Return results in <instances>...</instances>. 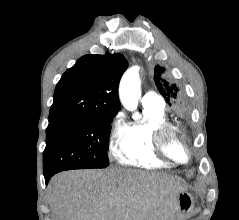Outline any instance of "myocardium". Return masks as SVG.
<instances>
[{"mask_svg":"<svg viewBox=\"0 0 239 220\" xmlns=\"http://www.w3.org/2000/svg\"><path fill=\"white\" fill-rule=\"evenodd\" d=\"M171 136H176L179 138L184 152H185V157L184 159H177L173 157L167 148V142ZM153 145L156 153L158 156H160L162 159L175 164V165H184L189 162L191 158V152L189 149V146L187 144L185 135L182 133V131L176 127L173 124H165L161 127H159L153 135Z\"/></svg>","mask_w":239,"mask_h":220,"instance_id":"1","label":"myocardium"}]
</instances>
